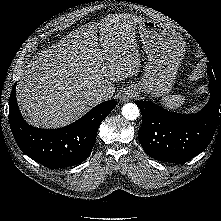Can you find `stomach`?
<instances>
[{
  "mask_svg": "<svg viewBox=\"0 0 221 221\" xmlns=\"http://www.w3.org/2000/svg\"><path fill=\"white\" fill-rule=\"evenodd\" d=\"M137 23L148 60L142 78L131 87L156 97L164 96L173 87L185 52V41L170 26L145 18Z\"/></svg>",
  "mask_w": 221,
  "mask_h": 221,
  "instance_id": "stomach-1",
  "label": "stomach"
}]
</instances>
